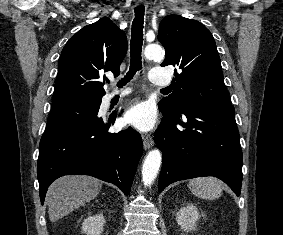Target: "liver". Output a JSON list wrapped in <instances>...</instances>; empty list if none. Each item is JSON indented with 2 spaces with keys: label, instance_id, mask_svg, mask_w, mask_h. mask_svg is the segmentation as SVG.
<instances>
[{
  "label": "liver",
  "instance_id": "liver-1",
  "mask_svg": "<svg viewBox=\"0 0 283 235\" xmlns=\"http://www.w3.org/2000/svg\"><path fill=\"white\" fill-rule=\"evenodd\" d=\"M102 182L90 176H63L48 188L46 202L51 222H55L95 198Z\"/></svg>",
  "mask_w": 283,
  "mask_h": 235
}]
</instances>
